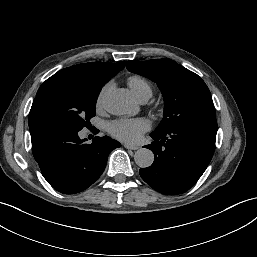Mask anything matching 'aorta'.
Segmentation results:
<instances>
[{
	"instance_id": "obj_1",
	"label": "aorta",
	"mask_w": 257,
	"mask_h": 257,
	"mask_svg": "<svg viewBox=\"0 0 257 257\" xmlns=\"http://www.w3.org/2000/svg\"><path fill=\"white\" fill-rule=\"evenodd\" d=\"M104 108L115 115L132 114L135 105L128 90L112 87L106 89L102 94ZM135 163L141 168L150 167L154 161V154L150 149L140 148L134 155Z\"/></svg>"
}]
</instances>
